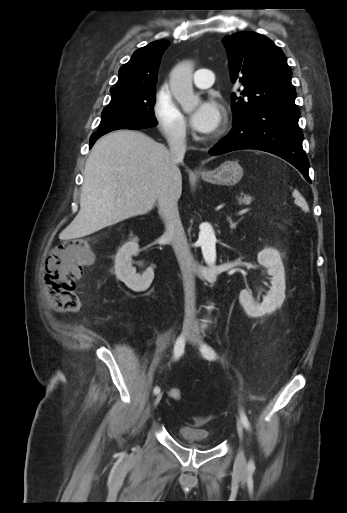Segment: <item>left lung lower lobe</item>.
Segmentation results:
<instances>
[{"mask_svg": "<svg viewBox=\"0 0 347 513\" xmlns=\"http://www.w3.org/2000/svg\"><path fill=\"white\" fill-rule=\"evenodd\" d=\"M297 106L270 105L233 121V129L209 152L220 155L239 149H256L277 155L294 165L311 182L309 162L302 148Z\"/></svg>", "mask_w": 347, "mask_h": 513, "instance_id": "obj_1", "label": "left lung lower lobe"}]
</instances>
